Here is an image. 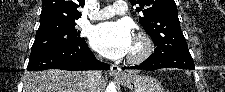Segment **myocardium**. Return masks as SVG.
Masks as SVG:
<instances>
[{
	"instance_id": "f54148a6",
	"label": "myocardium",
	"mask_w": 225,
	"mask_h": 92,
	"mask_svg": "<svg viewBox=\"0 0 225 92\" xmlns=\"http://www.w3.org/2000/svg\"><path fill=\"white\" fill-rule=\"evenodd\" d=\"M134 51L130 52L127 61L130 64H140L152 53L153 46L150 38L144 32L138 33L134 38Z\"/></svg>"
}]
</instances>
